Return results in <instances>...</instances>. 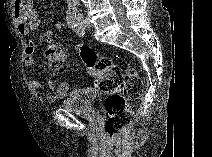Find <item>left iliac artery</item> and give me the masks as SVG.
I'll list each match as a JSON object with an SVG mask.
<instances>
[{
	"label": "left iliac artery",
	"mask_w": 212,
	"mask_h": 157,
	"mask_svg": "<svg viewBox=\"0 0 212 157\" xmlns=\"http://www.w3.org/2000/svg\"><path fill=\"white\" fill-rule=\"evenodd\" d=\"M81 20H82V16H79L77 19V24H76V29H75L76 33L79 36L84 35V28L82 27Z\"/></svg>",
	"instance_id": "left-iliac-artery-1"
}]
</instances>
